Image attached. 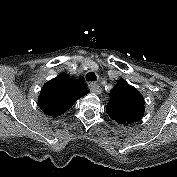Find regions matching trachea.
<instances>
[{
    "label": "trachea",
    "instance_id": "3493384b",
    "mask_svg": "<svg viewBox=\"0 0 177 177\" xmlns=\"http://www.w3.org/2000/svg\"><path fill=\"white\" fill-rule=\"evenodd\" d=\"M86 80L88 82L95 81L96 80V75L93 72H89L86 75Z\"/></svg>",
    "mask_w": 177,
    "mask_h": 177
}]
</instances>
